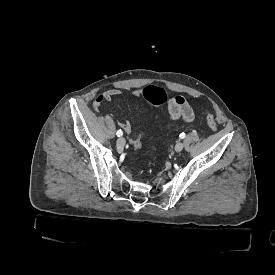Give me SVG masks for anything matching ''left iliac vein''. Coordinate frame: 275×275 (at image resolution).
I'll return each mask as SVG.
<instances>
[{
    "label": "left iliac vein",
    "mask_w": 275,
    "mask_h": 275,
    "mask_svg": "<svg viewBox=\"0 0 275 275\" xmlns=\"http://www.w3.org/2000/svg\"><path fill=\"white\" fill-rule=\"evenodd\" d=\"M183 147H184V144L182 142H178L176 145H175V151L176 152H181L183 150Z\"/></svg>",
    "instance_id": "obj_1"
}]
</instances>
